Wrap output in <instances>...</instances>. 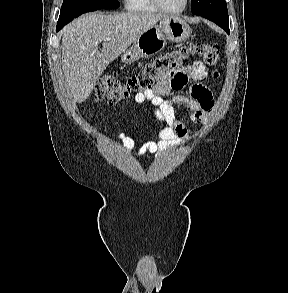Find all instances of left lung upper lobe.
<instances>
[{
	"instance_id": "obj_1",
	"label": "left lung upper lobe",
	"mask_w": 288,
	"mask_h": 293,
	"mask_svg": "<svg viewBox=\"0 0 288 293\" xmlns=\"http://www.w3.org/2000/svg\"><path fill=\"white\" fill-rule=\"evenodd\" d=\"M191 11L215 22L224 30L229 29L227 5L224 0H191Z\"/></svg>"
}]
</instances>
